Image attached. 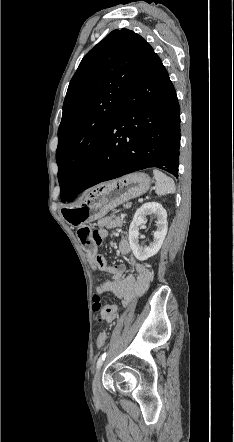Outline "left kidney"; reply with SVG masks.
I'll return each mask as SVG.
<instances>
[{"label": "left kidney", "instance_id": "1", "mask_svg": "<svg viewBox=\"0 0 234 442\" xmlns=\"http://www.w3.org/2000/svg\"><path fill=\"white\" fill-rule=\"evenodd\" d=\"M148 214H154L157 217V229L153 233V242L147 247L139 245V227L144 223V218ZM167 212L163 206L157 202H148L143 204L135 213L134 218L129 227V244L134 256L144 261L157 254L160 250L165 236L167 234Z\"/></svg>", "mask_w": 234, "mask_h": 442}]
</instances>
